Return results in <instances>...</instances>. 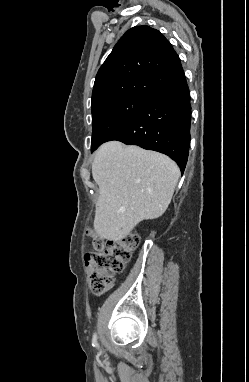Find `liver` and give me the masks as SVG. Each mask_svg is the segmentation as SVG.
Returning <instances> with one entry per match:
<instances>
[{
	"instance_id": "liver-1",
	"label": "liver",
	"mask_w": 249,
	"mask_h": 382,
	"mask_svg": "<svg viewBox=\"0 0 249 382\" xmlns=\"http://www.w3.org/2000/svg\"><path fill=\"white\" fill-rule=\"evenodd\" d=\"M92 176L99 186L94 229L100 238L118 241L139 222L163 215L180 170L166 155L110 141L96 152Z\"/></svg>"
}]
</instances>
